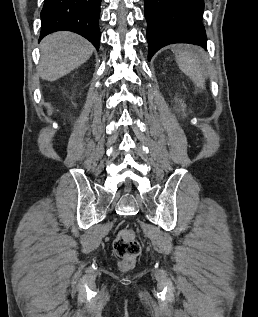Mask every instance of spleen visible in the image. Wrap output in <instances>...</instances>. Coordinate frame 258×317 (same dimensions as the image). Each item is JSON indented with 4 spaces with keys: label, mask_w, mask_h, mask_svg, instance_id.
Listing matches in <instances>:
<instances>
[{
    "label": "spleen",
    "mask_w": 258,
    "mask_h": 317,
    "mask_svg": "<svg viewBox=\"0 0 258 317\" xmlns=\"http://www.w3.org/2000/svg\"><path fill=\"white\" fill-rule=\"evenodd\" d=\"M172 50L175 52V58L179 68H181L189 78H192L197 86L205 88V68L200 54H198L194 48H181V50H177L174 46Z\"/></svg>",
    "instance_id": "3e777b00"
}]
</instances>
